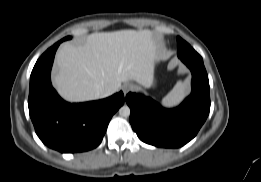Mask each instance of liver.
Segmentation results:
<instances>
[{
  "instance_id": "liver-1",
  "label": "liver",
  "mask_w": 261,
  "mask_h": 182,
  "mask_svg": "<svg viewBox=\"0 0 261 182\" xmlns=\"http://www.w3.org/2000/svg\"><path fill=\"white\" fill-rule=\"evenodd\" d=\"M157 48L150 30L92 33L82 46L65 43L59 48L54 84L69 101L102 98L104 90L114 93L129 80L149 87Z\"/></svg>"
}]
</instances>
